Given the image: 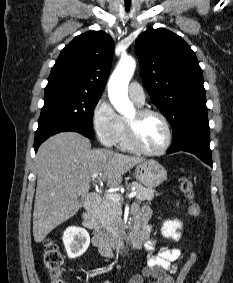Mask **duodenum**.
Masks as SVG:
<instances>
[{
  "label": "duodenum",
  "instance_id": "obj_1",
  "mask_svg": "<svg viewBox=\"0 0 233 283\" xmlns=\"http://www.w3.org/2000/svg\"><path fill=\"white\" fill-rule=\"evenodd\" d=\"M101 200L98 196L91 194L87 196L84 212H83V225L96 234L102 243L103 248H110L116 246L122 253L131 254L138 251L146 239L144 231L135 226L130 232L125 242H120L111 238L103 229L97 217Z\"/></svg>",
  "mask_w": 233,
  "mask_h": 283
}]
</instances>
